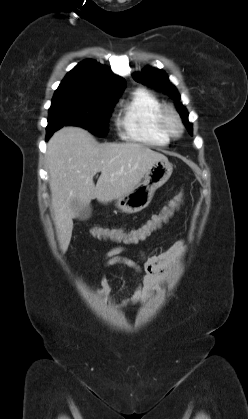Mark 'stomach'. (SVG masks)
<instances>
[{"label":"stomach","mask_w":248,"mask_h":419,"mask_svg":"<svg viewBox=\"0 0 248 419\" xmlns=\"http://www.w3.org/2000/svg\"><path fill=\"white\" fill-rule=\"evenodd\" d=\"M172 171L173 166L167 159L156 161L141 183L116 198V207L128 214L140 212L149 205L155 191L170 178Z\"/></svg>","instance_id":"stomach-1"}]
</instances>
